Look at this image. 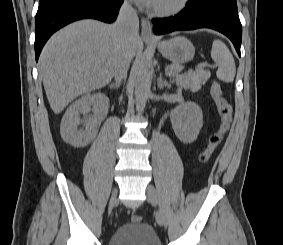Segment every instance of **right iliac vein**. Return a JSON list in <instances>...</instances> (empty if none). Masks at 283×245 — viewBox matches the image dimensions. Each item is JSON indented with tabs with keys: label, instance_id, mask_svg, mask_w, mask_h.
Returning a JSON list of instances; mask_svg holds the SVG:
<instances>
[{
	"label": "right iliac vein",
	"instance_id": "right-iliac-vein-1",
	"mask_svg": "<svg viewBox=\"0 0 283 245\" xmlns=\"http://www.w3.org/2000/svg\"><path fill=\"white\" fill-rule=\"evenodd\" d=\"M117 195H118V190L115 189L111 195L110 201H109V206H108V213H111L112 209L114 208L116 202H117Z\"/></svg>",
	"mask_w": 283,
	"mask_h": 245
}]
</instances>
